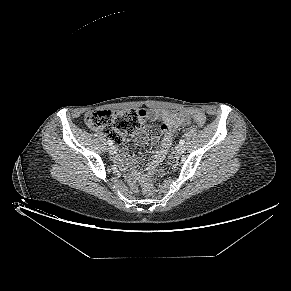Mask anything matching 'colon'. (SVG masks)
<instances>
[{
    "mask_svg": "<svg viewBox=\"0 0 291 291\" xmlns=\"http://www.w3.org/2000/svg\"><path fill=\"white\" fill-rule=\"evenodd\" d=\"M189 114L199 126L206 122L205 115L200 111H191ZM148 113L143 109H131L128 111L96 110L86 114L85 123L95 130H102L115 143H121L125 137L136 131L146 121ZM154 170L147 168L141 178V188L147 195H151L154 186L151 175Z\"/></svg>",
    "mask_w": 291,
    "mask_h": 291,
    "instance_id": "obj_1",
    "label": "colon"
}]
</instances>
